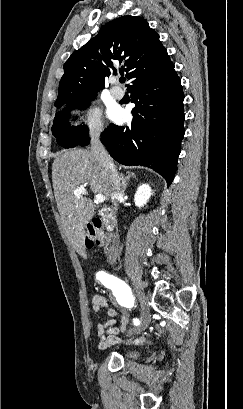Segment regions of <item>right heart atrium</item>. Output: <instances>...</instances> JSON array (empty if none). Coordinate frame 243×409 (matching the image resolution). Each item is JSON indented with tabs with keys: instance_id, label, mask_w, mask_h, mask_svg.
I'll use <instances>...</instances> for the list:
<instances>
[{
	"instance_id": "right-heart-atrium-1",
	"label": "right heart atrium",
	"mask_w": 243,
	"mask_h": 409,
	"mask_svg": "<svg viewBox=\"0 0 243 409\" xmlns=\"http://www.w3.org/2000/svg\"><path fill=\"white\" fill-rule=\"evenodd\" d=\"M73 126L85 129L91 136H99L105 129L101 111L93 103L74 108Z\"/></svg>"
}]
</instances>
